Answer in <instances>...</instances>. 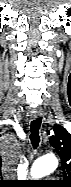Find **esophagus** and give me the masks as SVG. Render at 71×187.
<instances>
[{
  "instance_id": "34e87169",
  "label": "esophagus",
  "mask_w": 71,
  "mask_h": 187,
  "mask_svg": "<svg viewBox=\"0 0 71 187\" xmlns=\"http://www.w3.org/2000/svg\"><path fill=\"white\" fill-rule=\"evenodd\" d=\"M42 115V109L37 107V108H33L31 110V117L33 118H37L40 117Z\"/></svg>"
}]
</instances>
